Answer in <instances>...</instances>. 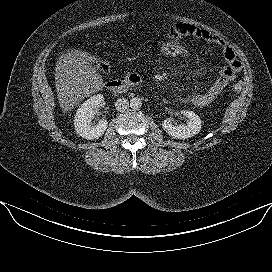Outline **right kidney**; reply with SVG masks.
Masks as SVG:
<instances>
[{
	"instance_id": "right-kidney-1",
	"label": "right kidney",
	"mask_w": 272,
	"mask_h": 272,
	"mask_svg": "<svg viewBox=\"0 0 272 272\" xmlns=\"http://www.w3.org/2000/svg\"><path fill=\"white\" fill-rule=\"evenodd\" d=\"M104 102V96L97 94L87 99L77 110L74 117L75 132L84 139L94 140L101 137L107 129V120L101 119L93 124L97 108Z\"/></svg>"
}]
</instances>
